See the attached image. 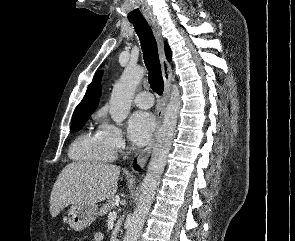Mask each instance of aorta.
Masks as SVG:
<instances>
[{
  "mask_svg": "<svg viewBox=\"0 0 295 241\" xmlns=\"http://www.w3.org/2000/svg\"><path fill=\"white\" fill-rule=\"evenodd\" d=\"M145 70L140 66H127L120 79L115 83L109 101V113L117 125L127 118L132 98L137 86L144 77ZM181 106L180 91L172 86L169 103L166 107L162 126L154 145L148 169L143 180L139 202L133 212L123 241H137L146 216L153 203L160 184L168 153L171 148Z\"/></svg>",
  "mask_w": 295,
  "mask_h": 241,
  "instance_id": "aorta-1",
  "label": "aorta"
}]
</instances>
